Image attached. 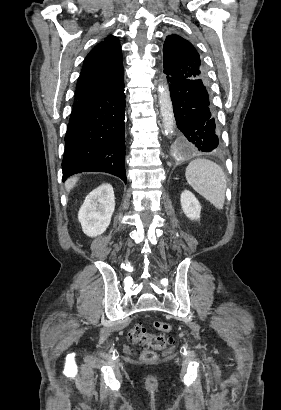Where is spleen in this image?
<instances>
[{
    "label": "spleen",
    "mask_w": 281,
    "mask_h": 410,
    "mask_svg": "<svg viewBox=\"0 0 281 410\" xmlns=\"http://www.w3.org/2000/svg\"><path fill=\"white\" fill-rule=\"evenodd\" d=\"M185 176L195 191L217 209L223 208L227 182L220 166L210 160L198 158L189 163Z\"/></svg>",
    "instance_id": "obj_1"
}]
</instances>
